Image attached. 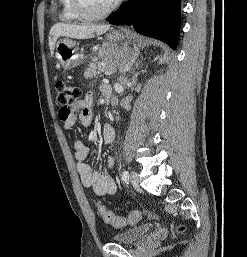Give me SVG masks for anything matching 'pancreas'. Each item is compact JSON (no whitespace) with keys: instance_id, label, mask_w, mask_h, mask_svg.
I'll return each mask as SVG.
<instances>
[{"instance_id":"cf45deb5","label":"pancreas","mask_w":247,"mask_h":257,"mask_svg":"<svg viewBox=\"0 0 247 257\" xmlns=\"http://www.w3.org/2000/svg\"><path fill=\"white\" fill-rule=\"evenodd\" d=\"M115 68L114 64L109 61H98L96 58L90 62L88 67L84 72L86 78H98L101 73L108 70H113Z\"/></svg>"}]
</instances>
